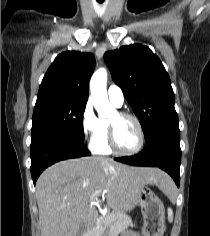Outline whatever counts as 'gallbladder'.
<instances>
[{
  "label": "gallbladder",
  "instance_id": "gallbladder-1",
  "mask_svg": "<svg viewBox=\"0 0 210 236\" xmlns=\"http://www.w3.org/2000/svg\"><path fill=\"white\" fill-rule=\"evenodd\" d=\"M85 230H86V225L85 224H81V226L79 228L78 236H82V234L85 232Z\"/></svg>",
  "mask_w": 210,
  "mask_h": 236
}]
</instances>
